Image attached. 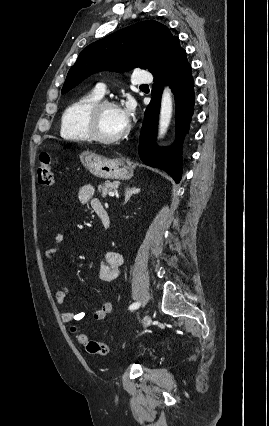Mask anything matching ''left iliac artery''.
I'll use <instances>...</instances> for the list:
<instances>
[{"label":"left iliac artery","mask_w":269,"mask_h":426,"mask_svg":"<svg viewBox=\"0 0 269 426\" xmlns=\"http://www.w3.org/2000/svg\"><path fill=\"white\" fill-rule=\"evenodd\" d=\"M139 306H140V303L139 302H135V303H133V304H131L129 306V309L130 310H134V309H137Z\"/></svg>","instance_id":"1"}]
</instances>
